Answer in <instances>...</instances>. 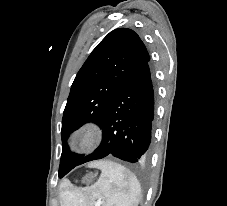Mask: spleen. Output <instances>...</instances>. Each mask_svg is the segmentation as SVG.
<instances>
[{
  "label": "spleen",
  "instance_id": "spleen-1",
  "mask_svg": "<svg viewBox=\"0 0 227 206\" xmlns=\"http://www.w3.org/2000/svg\"><path fill=\"white\" fill-rule=\"evenodd\" d=\"M102 173L95 185L85 189L64 187L61 191L63 206H89L103 200V206H138L141 185L137 177L118 163L97 162Z\"/></svg>",
  "mask_w": 227,
  "mask_h": 206
}]
</instances>
